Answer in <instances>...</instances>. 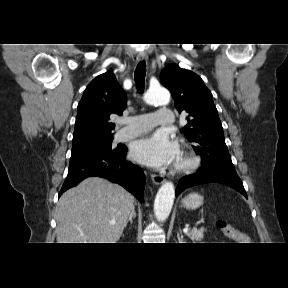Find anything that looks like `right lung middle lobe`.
Listing matches in <instances>:
<instances>
[{
  "instance_id": "1",
  "label": "right lung middle lobe",
  "mask_w": 288,
  "mask_h": 288,
  "mask_svg": "<svg viewBox=\"0 0 288 288\" xmlns=\"http://www.w3.org/2000/svg\"><path fill=\"white\" fill-rule=\"evenodd\" d=\"M113 136L86 145L72 147L70 162H76L88 156L107 154L118 151L120 148H112Z\"/></svg>"
}]
</instances>
